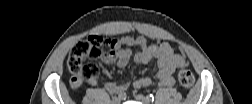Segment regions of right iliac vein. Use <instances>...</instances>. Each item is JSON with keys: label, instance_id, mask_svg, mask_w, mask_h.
Segmentation results:
<instances>
[{"label": "right iliac vein", "instance_id": "1", "mask_svg": "<svg viewBox=\"0 0 252 104\" xmlns=\"http://www.w3.org/2000/svg\"><path fill=\"white\" fill-rule=\"evenodd\" d=\"M112 103L113 104H119L120 103V99H118V98L115 97V98L112 99Z\"/></svg>", "mask_w": 252, "mask_h": 104}]
</instances>
